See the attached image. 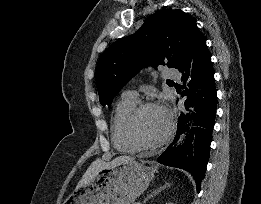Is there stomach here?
<instances>
[{
    "label": "stomach",
    "instance_id": "1",
    "mask_svg": "<svg viewBox=\"0 0 261 204\" xmlns=\"http://www.w3.org/2000/svg\"><path fill=\"white\" fill-rule=\"evenodd\" d=\"M156 170L135 160L101 169L88 185L77 186L64 204H134Z\"/></svg>",
    "mask_w": 261,
    "mask_h": 204
}]
</instances>
